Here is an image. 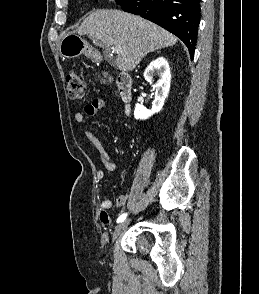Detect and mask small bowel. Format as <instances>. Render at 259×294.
<instances>
[{
    "label": "small bowel",
    "mask_w": 259,
    "mask_h": 294,
    "mask_svg": "<svg viewBox=\"0 0 259 294\" xmlns=\"http://www.w3.org/2000/svg\"><path fill=\"white\" fill-rule=\"evenodd\" d=\"M105 107H106V102L103 99H94L85 106L84 113L76 112L75 120L78 123H83L85 121L86 116L96 117L102 110L105 109ZM85 136L97 150L100 161L102 162L104 167L109 171L115 170L116 164L113 161V159L110 157L108 152L105 150L100 139L90 131H85ZM96 176H97V179L101 181L105 178V172L103 170H99ZM116 203L119 207H123L126 203L125 196L120 195L117 198ZM111 207H112V201L109 198H105L101 201L99 220L103 225L111 224V218L108 212Z\"/></svg>",
    "instance_id": "obj_1"
}]
</instances>
